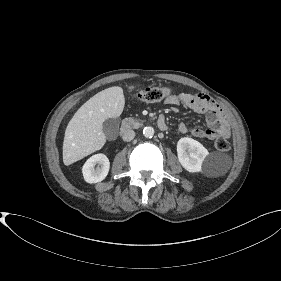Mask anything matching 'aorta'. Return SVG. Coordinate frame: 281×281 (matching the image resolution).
<instances>
[{
	"label": "aorta",
	"mask_w": 281,
	"mask_h": 281,
	"mask_svg": "<svg viewBox=\"0 0 281 281\" xmlns=\"http://www.w3.org/2000/svg\"><path fill=\"white\" fill-rule=\"evenodd\" d=\"M154 128L151 127V126H147L143 129V135L146 137V138H152L154 136Z\"/></svg>",
	"instance_id": "aorta-1"
}]
</instances>
